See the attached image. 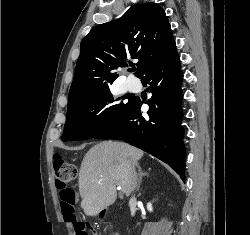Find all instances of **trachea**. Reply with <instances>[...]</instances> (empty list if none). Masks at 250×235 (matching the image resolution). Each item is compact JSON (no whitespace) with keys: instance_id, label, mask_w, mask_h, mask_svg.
Segmentation results:
<instances>
[{"instance_id":"3493384b","label":"trachea","mask_w":250,"mask_h":235,"mask_svg":"<svg viewBox=\"0 0 250 235\" xmlns=\"http://www.w3.org/2000/svg\"><path fill=\"white\" fill-rule=\"evenodd\" d=\"M130 71H131V72H135V71H136V68L133 67V68L130 69Z\"/></svg>"}]
</instances>
